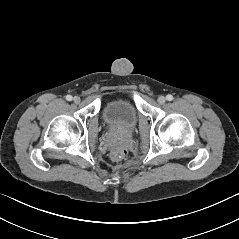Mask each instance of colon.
<instances>
[{
	"label": "colon",
	"instance_id": "5ec220e1",
	"mask_svg": "<svg viewBox=\"0 0 239 239\" xmlns=\"http://www.w3.org/2000/svg\"><path fill=\"white\" fill-rule=\"evenodd\" d=\"M128 152L122 147H118L113 150L111 156L115 161H123L127 158Z\"/></svg>",
	"mask_w": 239,
	"mask_h": 239
}]
</instances>
